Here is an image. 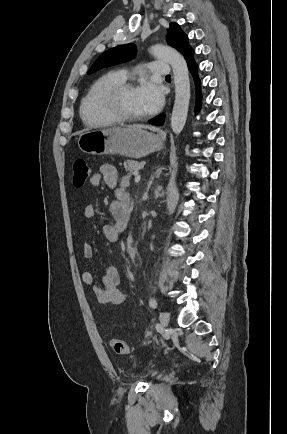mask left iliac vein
I'll return each instance as SVG.
<instances>
[{"label":"left iliac vein","instance_id":"4c4485c4","mask_svg":"<svg viewBox=\"0 0 287 434\" xmlns=\"http://www.w3.org/2000/svg\"><path fill=\"white\" fill-rule=\"evenodd\" d=\"M170 321V315L167 311L160 313V327L166 328Z\"/></svg>","mask_w":287,"mask_h":434}]
</instances>
